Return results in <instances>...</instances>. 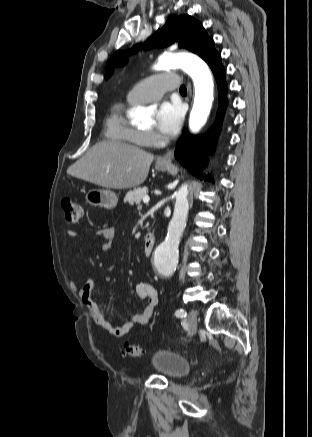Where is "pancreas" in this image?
Here are the masks:
<instances>
[{
	"mask_svg": "<svg viewBox=\"0 0 312 437\" xmlns=\"http://www.w3.org/2000/svg\"><path fill=\"white\" fill-rule=\"evenodd\" d=\"M147 194H148L147 187L134 188L133 190H130L129 192H127V194L125 195V198H124V202L128 203L129 205L136 204V205L140 206L142 199L145 196H147Z\"/></svg>",
	"mask_w": 312,
	"mask_h": 437,
	"instance_id": "obj_1",
	"label": "pancreas"
}]
</instances>
